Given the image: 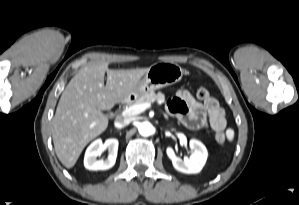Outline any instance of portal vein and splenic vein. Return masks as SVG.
I'll return each mask as SVG.
<instances>
[{
    "instance_id": "obj_1",
    "label": "portal vein and splenic vein",
    "mask_w": 299,
    "mask_h": 205,
    "mask_svg": "<svg viewBox=\"0 0 299 205\" xmlns=\"http://www.w3.org/2000/svg\"><path fill=\"white\" fill-rule=\"evenodd\" d=\"M150 107H151V103L136 104V105H133L129 108H126L122 112V116L123 117H130V116L138 115V114L144 112L146 109H148Z\"/></svg>"
}]
</instances>
